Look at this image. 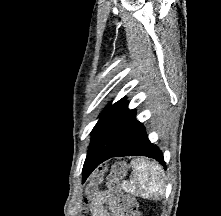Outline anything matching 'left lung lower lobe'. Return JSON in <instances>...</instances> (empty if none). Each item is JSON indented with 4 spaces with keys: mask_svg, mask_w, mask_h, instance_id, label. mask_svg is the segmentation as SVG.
<instances>
[{
    "mask_svg": "<svg viewBox=\"0 0 221 216\" xmlns=\"http://www.w3.org/2000/svg\"><path fill=\"white\" fill-rule=\"evenodd\" d=\"M134 155L156 159L166 168L162 152L148 140L142 125L137 134L120 151L114 152L107 146L89 150L83 167V182L98 165L109 158Z\"/></svg>",
    "mask_w": 221,
    "mask_h": 216,
    "instance_id": "0a47b994",
    "label": "left lung lower lobe"
}]
</instances>
